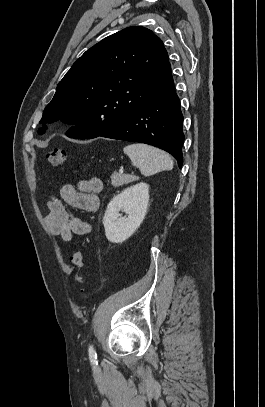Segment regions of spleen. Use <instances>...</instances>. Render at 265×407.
Returning a JSON list of instances; mask_svg holds the SVG:
<instances>
[{
  "label": "spleen",
  "instance_id": "3e777b00",
  "mask_svg": "<svg viewBox=\"0 0 265 407\" xmlns=\"http://www.w3.org/2000/svg\"><path fill=\"white\" fill-rule=\"evenodd\" d=\"M123 151L144 176L173 169V160L170 155L156 147L134 143L125 146Z\"/></svg>",
  "mask_w": 265,
  "mask_h": 407
}]
</instances>
